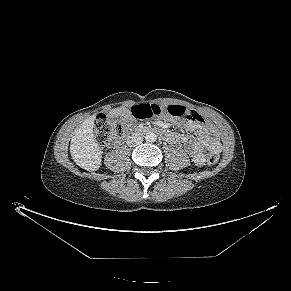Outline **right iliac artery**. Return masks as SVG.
Here are the masks:
<instances>
[{"label":"right iliac artery","mask_w":291,"mask_h":291,"mask_svg":"<svg viewBox=\"0 0 291 291\" xmlns=\"http://www.w3.org/2000/svg\"><path fill=\"white\" fill-rule=\"evenodd\" d=\"M139 136H140V137H143L144 134H143V133H139ZM149 137H150V136L148 135L147 138H149Z\"/></svg>","instance_id":"obj_1"}]
</instances>
